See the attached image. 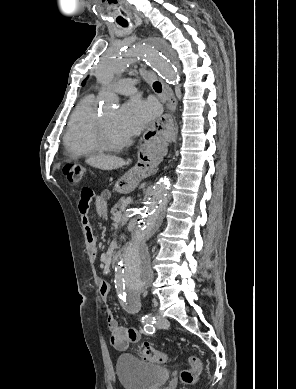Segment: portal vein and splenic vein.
<instances>
[{
    "label": "portal vein and splenic vein",
    "mask_w": 296,
    "mask_h": 389,
    "mask_svg": "<svg viewBox=\"0 0 296 389\" xmlns=\"http://www.w3.org/2000/svg\"><path fill=\"white\" fill-rule=\"evenodd\" d=\"M121 216H122L121 213L116 214L115 217H114V220L115 221H120L121 220Z\"/></svg>",
    "instance_id": "18ae733b"
}]
</instances>
